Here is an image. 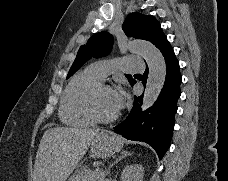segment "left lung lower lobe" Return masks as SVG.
<instances>
[{
	"instance_id": "1",
	"label": "left lung lower lobe",
	"mask_w": 228,
	"mask_h": 181,
	"mask_svg": "<svg viewBox=\"0 0 228 181\" xmlns=\"http://www.w3.org/2000/svg\"><path fill=\"white\" fill-rule=\"evenodd\" d=\"M156 47L161 51L166 62V80L163 89L157 101L146 111H140L143 96H134V105L130 114L114 128V131L129 140L148 143L161 159L168 150L173 135L177 100L181 95V74L178 60L167 39H163ZM147 75L148 69L143 75L144 86ZM135 78L141 80V78ZM135 83L136 81L131 85Z\"/></svg>"
}]
</instances>
